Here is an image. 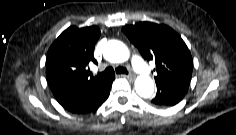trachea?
<instances>
[{
  "label": "trachea",
  "instance_id": "3493384b",
  "mask_svg": "<svg viewBox=\"0 0 236 135\" xmlns=\"http://www.w3.org/2000/svg\"><path fill=\"white\" fill-rule=\"evenodd\" d=\"M117 74H128V71L126 68L124 67H117L115 70L113 69V67L109 66L107 67L102 73H99L100 76H112L114 73Z\"/></svg>",
  "mask_w": 236,
  "mask_h": 135
}]
</instances>
